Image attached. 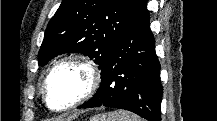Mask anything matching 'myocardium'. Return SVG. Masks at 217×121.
<instances>
[{
  "label": "myocardium",
  "mask_w": 217,
  "mask_h": 121,
  "mask_svg": "<svg viewBox=\"0 0 217 121\" xmlns=\"http://www.w3.org/2000/svg\"><path fill=\"white\" fill-rule=\"evenodd\" d=\"M68 65H77L85 68L89 73V84L86 90L73 102H71L66 106L55 108L50 103L49 91H48L49 82L52 76L54 75V73L59 68ZM100 84H101V71L99 69L98 64L92 58L82 54L69 55L57 61L46 74L42 86L43 99L50 110L54 112H65L74 107L79 106L80 104L90 99L99 89Z\"/></svg>",
  "instance_id": "f54148a6"
}]
</instances>
